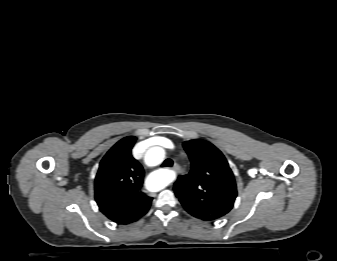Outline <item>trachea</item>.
I'll return each instance as SVG.
<instances>
[{
    "mask_svg": "<svg viewBox=\"0 0 337 261\" xmlns=\"http://www.w3.org/2000/svg\"><path fill=\"white\" fill-rule=\"evenodd\" d=\"M173 161L171 159H166L164 163L162 164V167H172Z\"/></svg>",
    "mask_w": 337,
    "mask_h": 261,
    "instance_id": "obj_1",
    "label": "trachea"
}]
</instances>
